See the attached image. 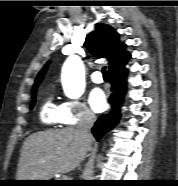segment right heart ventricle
<instances>
[{"label": "right heart ventricle", "mask_w": 178, "mask_h": 186, "mask_svg": "<svg viewBox=\"0 0 178 186\" xmlns=\"http://www.w3.org/2000/svg\"><path fill=\"white\" fill-rule=\"evenodd\" d=\"M39 117L41 123L49 128H57L64 124L62 105H57L52 98L42 104Z\"/></svg>", "instance_id": "1"}]
</instances>
